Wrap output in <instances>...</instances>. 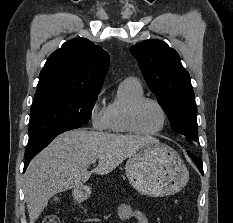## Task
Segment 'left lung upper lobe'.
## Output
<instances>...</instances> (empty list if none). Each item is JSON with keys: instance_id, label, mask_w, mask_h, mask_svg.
Returning a JSON list of instances; mask_svg holds the SVG:
<instances>
[{"instance_id": "left-lung-upper-lobe-1", "label": "left lung upper lobe", "mask_w": 233, "mask_h": 223, "mask_svg": "<svg viewBox=\"0 0 233 223\" xmlns=\"http://www.w3.org/2000/svg\"><path fill=\"white\" fill-rule=\"evenodd\" d=\"M141 72L168 115L171 128L190 143L197 140V108L190 76L178 53L160 40H146L130 48Z\"/></svg>"}]
</instances>
